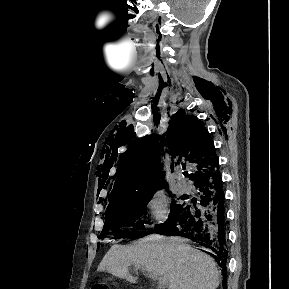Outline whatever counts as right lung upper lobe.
<instances>
[{"label": "right lung upper lobe", "instance_id": "obj_1", "mask_svg": "<svg viewBox=\"0 0 289 289\" xmlns=\"http://www.w3.org/2000/svg\"><path fill=\"white\" fill-rule=\"evenodd\" d=\"M158 141V135L147 137L129 149L122 162L123 168L117 172L114 188L108 198L109 205L166 186L160 158L163 154L159 152ZM166 144L172 156V169L181 164L184 158L194 166L189 174L194 182L219 167L209 132L195 116H188L183 110L172 118Z\"/></svg>", "mask_w": 289, "mask_h": 289}]
</instances>
